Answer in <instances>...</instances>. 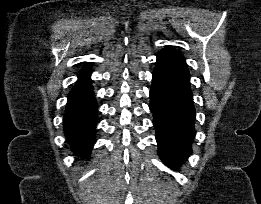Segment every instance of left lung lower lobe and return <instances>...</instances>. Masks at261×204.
I'll use <instances>...</instances> for the list:
<instances>
[{
	"label": "left lung lower lobe",
	"mask_w": 261,
	"mask_h": 204,
	"mask_svg": "<svg viewBox=\"0 0 261 204\" xmlns=\"http://www.w3.org/2000/svg\"><path fill=\"white\" fill-rule=\"evenodd\" d=\"M149 95L159 156L178 170L191 154L196 134L190 75L181 53L171 47L158 53Z\"/></svg>",
	"instance_id": "obj_1"
}]
</instances>
